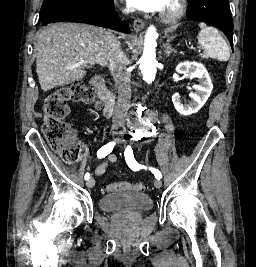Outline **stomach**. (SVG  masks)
Masks as SVG:
<instances>
[{
  "label": "stomach",
  "instance_id": "1",
  "mask_svg": "<svg viewBox=\"0 0 256 267\" xmlns=\"http://www.w3.org/2000/svg\"><path fill=\"white\" fill-rule=\"evenodd\" d=\"M168 38H170V40H172L173 36H168Z\"/></svg>",
  "mask_w": 256,
  "mask_h": 267
}]
</instances>
